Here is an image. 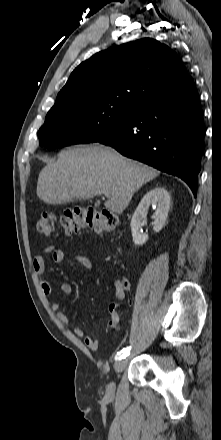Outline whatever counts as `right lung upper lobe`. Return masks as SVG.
<instances>
[{
    "mask_svg": "<svg viewBox=\"0 0 221 440\" xmlns=\"http://www.w3.org/2000/svg\"><path fill=\"white\" fill-rule=\"evenodd\" d=\"M190 83L184 65L172 49L144 38L100 51L82 62L58 93L51 110L100 103L135 108Z\"/></svg>",
    "mask_w": 221,
    "mask_h": 440,
    "instance_id": "1",
    "label": "right lung upper lobe"
}]
</instances>
